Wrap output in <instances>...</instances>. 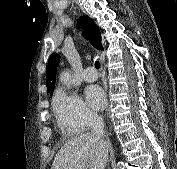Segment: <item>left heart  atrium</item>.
I'll use <instances>...</instances> for the list:
<instances>
[{
	"label": "left heart atrium",
	"instance_id": "obj_1",
	"mask_svg": "<svg viewBox=\"0 0 177 169\" xmlns=\"http://www.w3.org/2000/svg\"><path fill=\"white\" fill-rule=\"evenodd\" d=\"M85 98L87 103L93 108V109H101L105 105L106 97L105 93L102 90L101 87L97 85H91L87 87L85 91Z\"/></svg>",
	"mask_w": 177,
	"mask_h": 169
}]
</instances>
